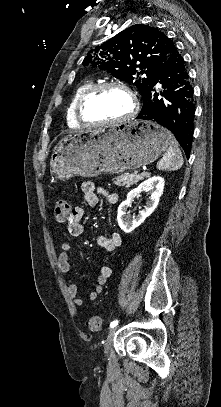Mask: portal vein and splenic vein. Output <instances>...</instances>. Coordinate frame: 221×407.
<instances>
[{
  "label": "portal vein and splenic vein",
  "mask_w": 221,
  "mask_h": 407,
  "mask_svg": "<svg viewBox=\"0 0 221 407\" xmlns=\"http://www.w3.org/2000/svg\"><path fill=\"white\" fill-rule=\"evenodd\" d=\"M134 174H135V175H138V171H134Z\"/></svg>",
  "instance_id": "portal-vein-and-splenic-vein-1"
}]
</instances>
